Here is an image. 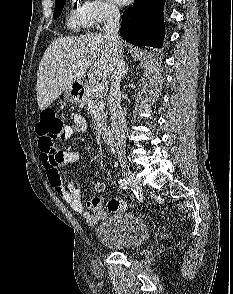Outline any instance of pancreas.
Here are the masks:
<instances>
[{
	"label": "pancreas",
	"instance_id": "cf45deb5",
	"mask_svg": "<svg viewBox=\"0 0 233 294\" xmlns=\"http://www.w3.org/2000/svg\"><path fill=\"white\" fill-rule=\"evenodd\" d=\"M91 102H95L96 105L98 106L99 110H100V113L103 117V120L101 122V125H102V129L106 128V122H105V116H106V113L104 111V95L103 93L102 94H99V95H96L93 91V87L91 86H86L85 90H84V95H83V98H82V103L83 104H89Z\"/></svg>",
	"mask_w": 233,
	"mask_h": 294
}]
</instances>
